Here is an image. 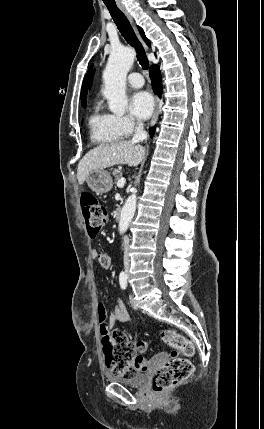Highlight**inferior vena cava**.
<instances>
[{
    "label": "inferior vena cava",
    "instance_id": "obj_1",
    "mask_svg": "<svg viewBox=\"0 0 264 429\" xmlns=\"http://www.w3.org/2000/svg\"><path fill=\"white\" fill-rule=\"evenodd\" d=\"M148 137L147 132L144 130V124L142 121H138L137 126L135 127V133L134 136L132 138V142L133 143H137L143 140H146ZM130 241L128 238H125L124 240V244H123V249H124V269L125 271L129 270L130 267V260H129V245Z\"/></svg>",
    "mask_w": 264,
    "mask_h": 429
}]
</instances>
